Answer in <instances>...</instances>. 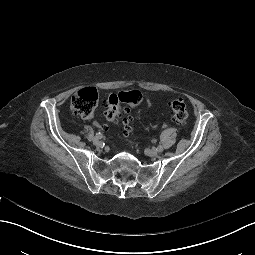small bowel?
<instances>
[{
	"mask_svg": "<svg viewBox=\"0 0 255 255\" xmlns=\"http://www.w3.org/2000/svg\"><path fill=\"white\" fill-rule=\"evenodd\" d=\"M146 105H147V107H151L152 106L151 100L147 99L146 100Z\"/></svg>",
	"mask_w": 255,
	"mask_h": 255,
	"instance_id": "small-bowel-1",
	"label": "small bowel"
}]
</instances>
